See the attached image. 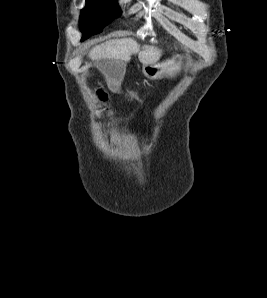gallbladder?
I'll list each match as a JSON object with an SVG mask.
<instances>
[{
	"instance_id": "1",
	"label": "gallbladder",
	"mask_w": 267,
	"mask_h": 298,
	"mask_svg": "<svg viewBox=\"0 0 267 298\" xmlns=\"http://www.w3.org/2000/svg\"><path fill=\"white\" fill-rule=\"evenodd\" d=\"M119 65H123V63L111 59H100L97 61V67L104 73H118L119 69L116 66Z\"/></svg>"
}]
</instances>
